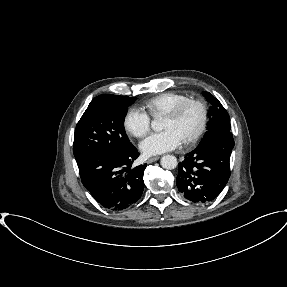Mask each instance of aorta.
<instances>
[{"mask_svg": "<svg viewBox=\"0 0 287 287\" xmlns=\"http://www.w3.org/2000/svg\"><path fill=\"white\" fill-rule=\"evenodd\" d=\"M151 125L156 130L160 129V124L157 120L152 121ZM160 163L164 169H174L177 167L178 164L176 157L173 155H164L161 158Z\"/></svg>", "mask_w": 287, "mask_h": 287, "instance_id": "aorta-1", "label": "aorta"}]
</instances>
